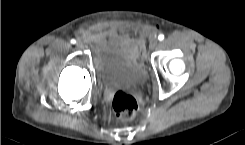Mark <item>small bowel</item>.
I'll return each mask as SVG.
<instances>
[{"instance_id": "obj_1", "label": "small bowel", "mask_w": 245, "mask_h": 145, "mask_svg": "<svg viewBox=\"0 0 245 145\" xmlns=\"http://www.w3.org/2000/svg\"><path fill=\"white\" fill-rule=\"evenodd\" d=\"M104 36V32L103 31H95V32H91L89 33V39L92 42H99Z\"/></svg>"}]
</instances>
